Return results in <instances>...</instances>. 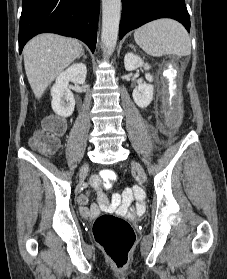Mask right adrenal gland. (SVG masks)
<instances>
[{"instance_id":"2a0ac1e0","label":"right adrenal gland","mask_w":227,"mask_h":279,"mask_svg":"<svg viewBox=\"0 0 227 279\" xmlns=\"http://www.w3.org/2000/svg\"><path fill=\"white\" fill-rule=\"evenodd\" d=\"M81 57H83L84 59H87L84 50L82 51V53L80 54V56L78 57V59H80Z\"/></svg>"}]
</instances>
